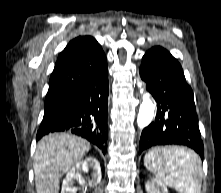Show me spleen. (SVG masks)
Segmentation results:
<instances>
[{"label":"spleen","mask_w":221,"mask_h":193,"mask_svg":"<svg viewBox=\"0 0 221 193\" xmlns=\"http://www.w3.org/2000/svg\"><path fill=\"white\" fill-rule=\"evenodd\" d=\"M144 164L155 176L179 193H200L201 162L197 154L177 146H153Z\"/></svg>","instance_id":"obj_1"}]
</instances>
